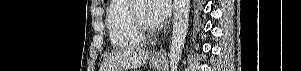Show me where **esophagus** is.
Returning a JSON list of instances; mask_svg holds the SVG:
<instances>
[{"label":"esophagus","mask_w":301,"mask_h":71,"mask_svg":"<svg viewBox=\"0 0 301 71\" xmlns=\"http://www.w3.org/2000/svg\"><path fill=\"white\" fill-rule=\"evenodd\" d=\"M164 54H165L164 51H163V50H160V51H158V52L155 53V57L161 58V57L164 56Z\"/></svg>","instance_id":"obj_1"}]
</instances>
